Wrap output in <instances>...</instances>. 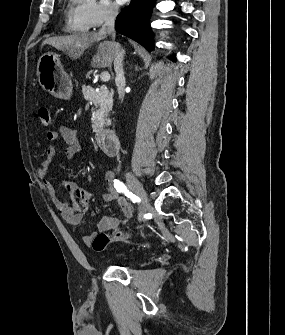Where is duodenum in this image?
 Here are the masks:
<instances>
[{"mask_svg":"<svg viewBox=\"0 0 285 335\" xmlns=\"http://www.w3.org/2000/svg\"><path fill=\"white\" fill-rule=\"evenodd\" d=\"M96 140L104 154L114 156L118 152L119 138L113 127L100 129L96 134Z\"/></svg>","mask_w":285,"mask_h":335,"instance_id":"duodenum-1","label":"duodenum"}]
</instances>
